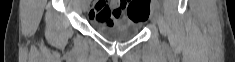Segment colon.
I'll return each instance as SVG.
<instances>
[{"instance_id":"colon-1","label":"colon","mask_w":235,"mask_h":62,"mask_svg":"<svg viewBox=\"0 0 235 62\" xmlns=\"http://www.w3.org/2000/svg\"><path fill=\"white\" fill-rule=\"evenodd\" d=\"M97 6L101 7V9L107 8L104 3H98ZM124 7L126 9V18L130 22L136 23L146 18L147 9L140 1L134 0L128 4H125Z\"/></svg>"}]
</instances>
